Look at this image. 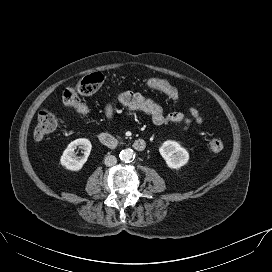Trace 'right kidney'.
I'll list each match as a JSON object with an SVG mask.
<instances>
[{
	"instance_id": "ca27d5eb",
	"label": "right kidney",
	"mask_w": 272,
	"mask_h": 272,
	"mask_svg": "<svg viewBox=\"0 0 272 272\" xmlns=\"http://www.w3.org/2000/svg\"><path fill=\"white\" fill-rule=\"evenodd\" d=\"M76 148L84 150V157H77L75 154ZM92 148L91 142L86 138H79L72 141L64 150L60 163L66 169L71 171H79L82 169L84 163L87 161L88 156Z\"/></svg>"
}]
</instances>
